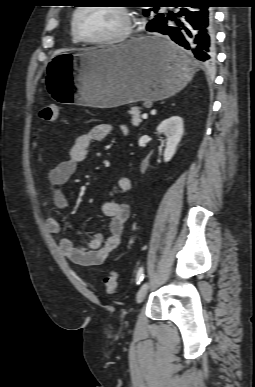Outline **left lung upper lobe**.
Instances as JSON below:
<instances>
[{
	"mask_svg": "<svg viewBox=\"0 0 255 387\" xmlns=\"http://www.w3.org/2000/svg\"><path fill=\"white\" fill-rule=\"evenodd\" d=\"M173 1L174 0H171L170 2H173ZM154 2H156V1L155 0H134L135 4H153ZM170 2H167V3H170ZM137 7H142V6L139 5ZM158 9H159V6L156 5V6H154L153 11L157 12ZM151 11H152V9H144L143 12H144L145 16H149L151 14ZM161 16H163V14H157L154 19L161 17ZM154 19H152V20H154Z\"/></svg>",
	"mask_w": 255,
	"mask_h": 387,
	"instance_id": "obj_1",
	"label": "left lung upper lobe"
}]
</instances>
